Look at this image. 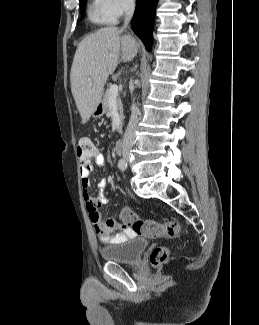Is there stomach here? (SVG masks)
I'll return each mask as SVG.
<instances>
[{
	"label": "stomach",
	"instance_id": "1",
	"mask_svg": "<svg viewBox=\"0 0 259 325\" xmlns=\"http://www.w3.org/2000/svg\"><path fill=\"white\" fill-rule=\"evenodd\" d=\"M106 112V107H105V104H104V101L101 100L97 105L96 107L94 108L93 110V116L95 118H100L101 116H103Z\"/></svg>",
	"mask_w": 259,
	"mask_h": 325
}]
</instances>
